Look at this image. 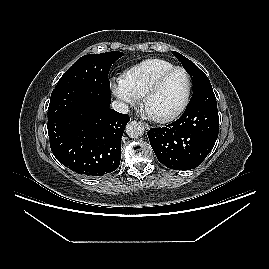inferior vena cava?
Segmentation results:
<instances>
[{
  "label": "inferior vena cava",
  "instance_id": "602c4592",
  "mask_svg": "<svg viewBox=\"0 0 269 269\" xmlns=\"http://www.w3.org/2000/svg\"><path fill=\"white\" fill-rule=\"evenodd\" d=\"M111 107H112V109H114L115 111H117L119 113L126 114L129 112L128 105L124 102H121V101H113L111 103Z\"/></svg>",
  "mask_w": 269,
  "mask_h": 269
}]
</instances>
